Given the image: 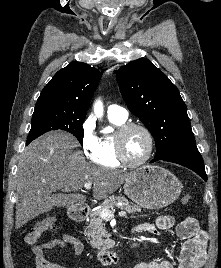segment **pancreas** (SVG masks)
I'll list each match as a JSON object with an SVG mask.
<instances>
[{
  "label": "pancreas",
  "instance_id": "1",
  "mask_svg": "<svg viewBox=\"0 0 221 268\" xmlns=\"http://www.w3.org/2000/svg\"><path fill=\"white\" fill-rule=\"evenodd\" d=\"M117 202H122L124 205L121 207L130 214L142 211L141 207L130 203L126 197L121 195H112L105 199L100 208L91 212L90 223L84 229L86 240H90V244L93 248H97L99 250H106L110 248L111 241L109 240V235L104 229L103 218L100 216V213L103 209L112 208Z\"/></svg>",
  "mask_w": 221,
  "mask_h": 268
}]
</instances>
